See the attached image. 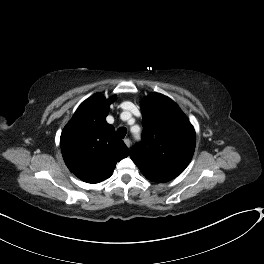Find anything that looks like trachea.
<instances>
[{
    "label": "trachea",
    "instance_id": "3493384b",
    "mask_svg": "<svg viewBox=\"0 0 264 264\" xmlns=\"http://www.w3.org/2000/svg\"><path fill=\"white\" fill-rule=\"evenodd\" d=\"M126 133H127V130L123 127H120L118 130H117V135L120 139H123L125 136H126Z\"/></svg>",
    "mask_w": 264,
    "mask_h": 264
}]
</instances>
